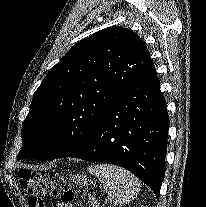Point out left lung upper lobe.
Wrapping results in <instances>:
<instances>
[{
  "mask_svg": "<svg viewBox=\"0 0 206 207\" xmlns=\"http://www.w3.org/2000/svg\"><path fill=\"white\" fill-rule=\"evenodd\" d=\"M149 62L143 40L119 26L75 44L34 93L18 157L50 160L86 146L105 110Z\"/></svg>",
  "mask_w": 206,
  "mask_h": 207,
  "instance_id": "5c2ea615",
  "label": "left lung upper lobe"
}]
</instances>
